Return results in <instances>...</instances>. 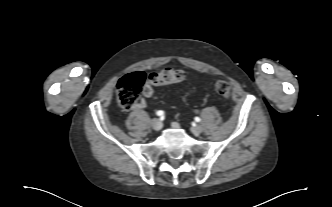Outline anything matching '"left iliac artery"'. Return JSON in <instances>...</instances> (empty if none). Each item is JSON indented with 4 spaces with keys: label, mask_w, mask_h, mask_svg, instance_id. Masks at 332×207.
Segmentation results:
<instances>
[{
    "label": "left iliac artery",
    "mask_w": 332,
    "mask_h": 207,
    "mask_svg": "<svg viewBox=\"0 0 332 207\" xmlns=\"http://www.w3.org/2000/svg\"><path fill=\"white\" fill-rule=\"evenodd\" d=\"M195 121L196 122H200V118L199 117H195Z\"/></svg>",
    "instance_id": "left-iliac-artery-1"
}]
</instances>
